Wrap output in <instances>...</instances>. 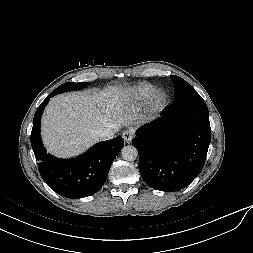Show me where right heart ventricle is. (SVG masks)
I'll list each match as a JSON object with an SVG mask.
<instances>
[{"instance_id":"e07e8e85","label":"right heart ventricle","mask_w":253,"mask_h":253,"mask_svg":"<svg viewBox=\"0 0 253 253\" xmlns=\"http://www.w3.org/2000/svg\"><path fill=\"white\" fill-rule=\"evenodd\" d=\"M153 90L154 88L151 84L139 85L129 92L128 101L130 103L143 102L152 95Z\"/></svg>"}]
</instances>
